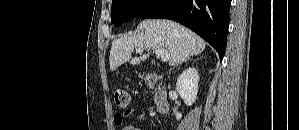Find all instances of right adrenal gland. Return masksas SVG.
Wrapping results in <instances>:
<instances>
[{
  "label": "right adrenal gland",
  "mask_w": 299,
  "mask_h": 130,
  "mask_svg": "<svg viewBox=\"0 0 299 130\" xmlns=\"http://www.w3.org/2000/svg\"><path fill=\"white\" fill-rule=\"evenodd\" d=\"M188 60H192V59L188 58V59H187V60H185L184 62H186V61H188Z\"/></svg>",
  "instance_id": "right-adrenal-gland-1"
}]
</instances>
